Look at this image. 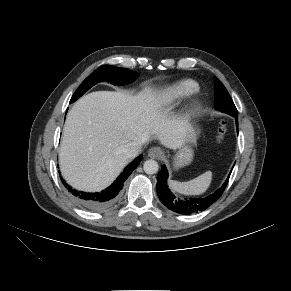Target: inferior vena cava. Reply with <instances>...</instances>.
Instances as JSON below:
<instances>
[{
  "instance_id": "obj_1",
  "label": "inferior vena cava",
  "mask_w": 291,
  "mask_h": 291,
  "mask_svg": "<svg viewBox=\"0 0 291 291\" xmlns=\"http://www.w3.org/2000/svg\"><path fill=\"white\" fill-rule=\"evenodd\" d=\"M143 143L144 142H130V143H128L123 150L124 154L128 158L136 157L140 153Z\"/></svg>"
}]
</instances>
